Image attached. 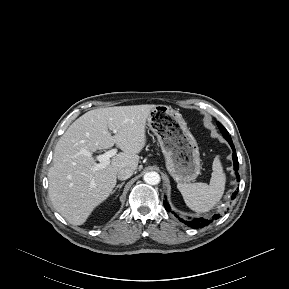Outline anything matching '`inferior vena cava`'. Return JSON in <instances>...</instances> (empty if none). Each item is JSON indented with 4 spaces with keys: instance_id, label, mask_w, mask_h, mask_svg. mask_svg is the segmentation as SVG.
<instances>
[{
    "instance_id": "602c4592",
    "label": "inferior vena cava",
    "mask_w": 289,
    "mask_h": 289,
    "mask_svg": "<svg viewBox=\"0 0 289 289\" xmlns=\"http://www.w3.org/2000/svg\"><path fill=\"white\" fill-rule=\"evenodd\" d=\"M134 169L132 168H123L120 169L117 173V177L119 180H126L133 175Z\"/></svg>"
}]
</instances>
